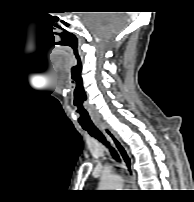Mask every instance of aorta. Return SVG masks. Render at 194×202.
<instances>
[{"mask_svg": "<svg viewBox=\"0 0 194 202\" xmlns=\"http://www.w3.org/2000/svg\"><path fill=\"white\" fill-rule=\"evenodd\" d=\"M123 181L119 176H102L99 188L100 190H122Z\"/></svg>", "mask_w": 194, "mask_h": 202, "instance_id": "1", "label": "aorta"}]
</instances>
